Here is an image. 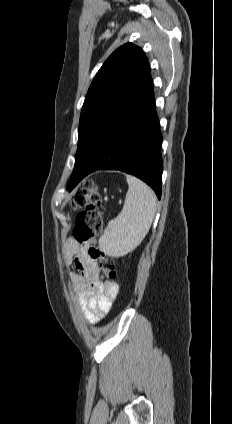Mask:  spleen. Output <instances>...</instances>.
I'll use <instances>...</instances> for the list:
<instances>
[{
    "instance_id": "obj_1",
    "label": "spleen",
    "mask_w": 232,
    "mask_h": 424,
    "mask_svg": "<svg viewBox=\"0 0 232 424\" xmlns=\"http://www.w3.org/2000/svg\"><path fill=\"white\" fill-rule=\"evenodd\" d=\"M128 191L122 211L109 221L99 238L107 255L121 257L132 252L147 235L153 222L157 199L154 191L140 179L127 175Z\"/></svg>"
}]
</instances>
